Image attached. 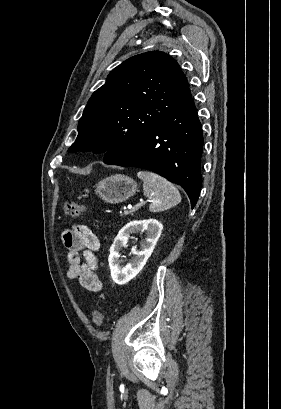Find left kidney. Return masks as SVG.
Masks as SVG:
<instances>
[{
    "label": "left kidney",
    "mask_w": 281,
    "mask_h": 409,
    "mask_svg": "<svg viewBox=\"0 0 281 409\" xmlns=\"http://www.w3.org/2000/svg\"><path fill=\"white\" fill-rule=\"evenodd\" d=\"M163 225L156 221V219H147V221H130L125 227H122L119 231L113 245L110 247V255L108 259L111 277L114 283L117 285H125L129 283L131 279H134L140 271H142L144 265H146L149 257H151L155 245L161 237ZM131 233H145V241L141 247V251H136V247H132L133 255H136L132 259L131 263L121 267V261H119L121 255L120 251L122 247H126L128 239Z\"/></svg>",
    "instance_id": "5707ae66"
}]
</instances>
